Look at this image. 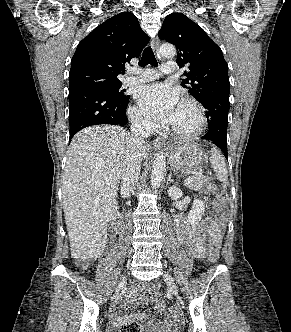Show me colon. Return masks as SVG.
I'll return each mask as SVG.
<instances>
[{
  "mask_svg": "<svg viewBox=\"0 0 291 332\" xmlns=\"http://www.w3.org/2000/svg\"><path fill=\"white\" fill-rule=\"evenodd\" d=\"M205 192L211 196L217 197L215 201L216 218L220 223L226 219V203L224 198L219 194L216 186L209 184L205 187ZM219 258V251L216 245H211L208 252V260L210 263H216ZM122 332H141V326L137 321H127L123 325Z\"/></svg>",
  "mask_w": 291,
  "mask_h": 332,
  "instance_id": "obj_1",
  "label": "colon"
}]
</instances>
